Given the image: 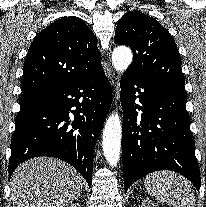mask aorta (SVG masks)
<instances>
[{"label":"aorta","mask_w":206,"mask_h":207,"mask_svg":"<svg viewBox=\"0 0 206 207\" xmlns=\"http://www.w3.org/2000/svg\"><path fill=\"white\" fill-rule=\"evenodd\" d=\"M132 52L127 47H117L112 53V63L117 71H124L132 62ZM122 126L117 113L111 114L103 129V153L111 166H116L120 158Z\"/></svg>","instance_id":"1"}]
</instances>
